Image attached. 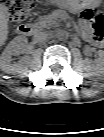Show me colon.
Returning <instances> with one entry per match:
<instances>
[{
	"label": "colon",
	"instance_id": "colon-1",
	"mask_svg": "<svg viewBox=\"0 0 104 137\" xmlns=\"http://www.w3.org/2000/svg\"><path fill=\"white\" fill-rule=\"evenodd\" d=\"M35 0H2L3 8L10 20L21 22L27 19ZM83 24L89 28L91 41L101 46L104 41V16L97 9H85L81 14Z\"/></svg>",
	"mask_w": 104,
	"mask_h": 137
}]
</instances>
